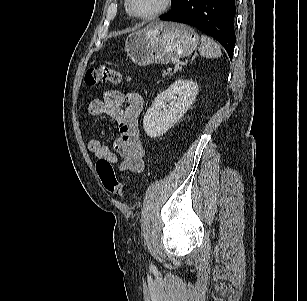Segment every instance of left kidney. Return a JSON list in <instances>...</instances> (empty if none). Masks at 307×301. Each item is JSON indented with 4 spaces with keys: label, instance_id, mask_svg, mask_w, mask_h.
Instances as JSON below:
<instances>
[{
    "label": "left kidney",
    "instance_id": "left-kidney-1",
    "mask_svg": "<svg viewBox=\"0 0 307 301\" xmlns=\"http://www.w3.org/2000/svg\"><path fill=\"white\" fill-rule=\"evenodd\" d=\"M197 92L196 82L179 79L160 93L144 115L143 127L146 134L156 138L166 133L187 112Z\"/></svg>",
    "mask_w": 307,
    "mask_h": 301
}]
</instances>
